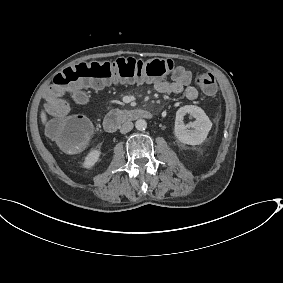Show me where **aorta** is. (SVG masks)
<instances>
[{"label": "aorta", "instance_id": "aorta-1", "mask_svg": "<svg viewBox=\"0 0 283 283\" xmlns=\"http://www.w3.org/2000/svg\"><path fill=\"white\" fill-rule=\"evenodd\" d=\"M135 127L137 130L139 131H143L146 129L147 127V122L144 120V119H138L136 122H135Z\"/></svg>", "mask_w": 283, "mask_h": 283}]
</instances>
